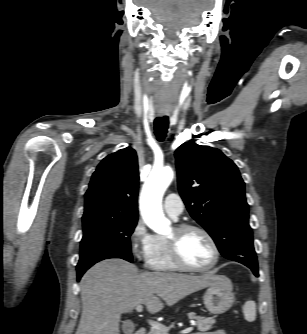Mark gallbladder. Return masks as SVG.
<instances>
[{
  "instance_id": "obj_1",
  "label": "gallbladder",
  "mask_w": 307,
  "mask_h": 334,
  "mask_svg": "<svg viewBox=\"0 0 307 334\" xmlns=\"http://www.w3.org/2000/svg\"><path fill=\"white\" fill-rule=\"evenodd\" d=\"M122 329L126 334H132L134 331V324L131 321H124L122 325Z\"/></svg>"
}]
</instances>
